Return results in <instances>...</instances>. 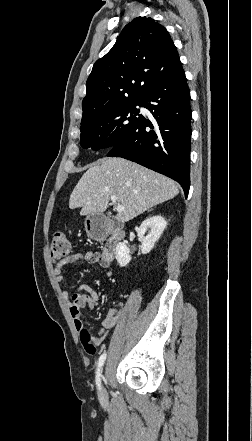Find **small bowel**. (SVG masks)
<instances>
[{"instance_id": "obj_1", "label": "small bowel", "mask_w": 252, "mask_h": 441, "mask_svg": "<svg viewBox=\"0 0 252 441\" xmlns=\"http://www.w3.org/2000/svg\"><path fill=\"white\" fill-rule=\"evenodd\" d=\"M76 262H87L90 265L99 264L102 268L109 267L110 262L105 260L99 253L87 250L84 253L72 252L68 256L62 258L54 269L56 282L60 286H64V278L62 276V268L65 265L74 264ZM62 297L70 299L69 312L73 319L74 325L78 331L84 328L81 321V311L83 309L93 311L98 303L100 296L99 293L91 288L89 285L80 284L72 293H69L66 289L62 291ZM123 315V303H119L116 308H111L108 311L107 316L102 322V327L95 337H92V341L95 344L101 343L107 337L109 331L115 327L119 319Z\"/></svg>"}]
</instances>
